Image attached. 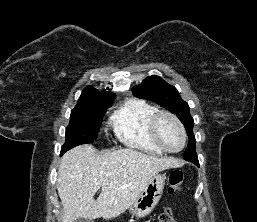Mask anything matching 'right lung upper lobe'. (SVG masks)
<instances>
[{"instance_id": "1", "label": "right lung upper lobe", "mask_w": 257, "mask_h": 222, "mask_svg": "<svg viewBox=\"0 0 257 222\" xmlns=\"http://www.w3.org/2000/svg\"><path fill=\"white\" fill-rule=\"evenodd\" d=\"M115 97L116 95L112 92H107L106 90L99 92L95 88L91 86H87L83 90L77 104L85 103V102H98V101L110 102V101H113Z\"/></svg>"}]
</instances>
